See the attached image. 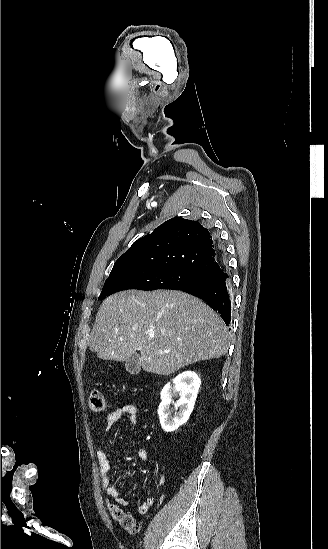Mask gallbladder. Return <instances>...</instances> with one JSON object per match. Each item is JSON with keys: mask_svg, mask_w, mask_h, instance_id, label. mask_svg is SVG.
<instances>
[{"mask_svg": "<svg viewBox=\"0 0 328 549\" xmlns=\"http://www.w3.org/2000/svg\"><path fill=\"white\" fill-rule=\"evenodd\" d=\"M125 369L130 375H138V373H140L141 365L138 353H134L132 357H129V359L125 361Z\"/></svg>", "mask_w": 328, "mask_h": 549, "instance_id": "1", "label": "gallbladder"}]
</instances>
